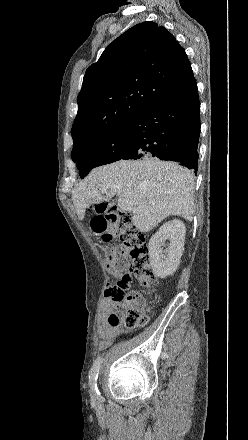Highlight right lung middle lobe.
<instances>
[{"instance_id": "obj_1", "label": "right lung middle lobe", "mask_w": 248, "mask_h": 440, "mask_svg": "<svg viewBox=\"0 0 248 440\" xmlns=\"http://www.w3.org/2000/svg\"><path fill=\"white\" fill-rule=\"evenodd\" d=\"M130 141V125L128 123L115 130L79 144L72 149V160L77 163L79 175L84 178L91 169L119 160Z\"/></svg>"}]
</instances>
